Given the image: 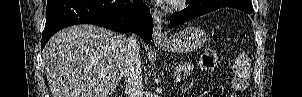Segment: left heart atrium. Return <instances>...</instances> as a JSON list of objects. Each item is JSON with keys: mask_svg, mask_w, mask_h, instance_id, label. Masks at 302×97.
<instances>
[{"mask_svg": "<svg viewBox=\"0 0 302 97\" xmlns=\"http://www.w3.org/2000/svg\"><path fill=\"white\" fill-rule=\"evenodd\" d=\"M164 2L170 3V4H175L180 2V0H165Z\"/></svg>", "mask_w": 302, "mask_h": 97, "instance_id": "39dd6f15", "label": "left heart atrium"}]
</instances>
